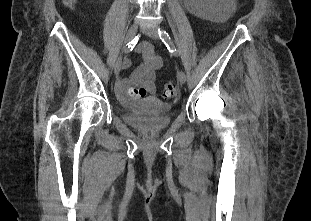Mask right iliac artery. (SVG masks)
I'll list each match as a JSON object with an SVG mask.
<instances>
[{"instance_id": "obj_1", "label": "right iliac artery", "mask_w": 311, "mask_h": 221, "mask_svg": "<svg viewBox=\"0 0 311 221\" xmlns=\"http://www.w3.org/2000/svg\"><path fill=\"white\" fill-rule=\"evenodd\" d=\"M138 40H139V36H135V38L132 39V41L127 43V45L124 48L125 53H129L131 50H133V48L137 44Z\"/></svg>"}]
</instances>
